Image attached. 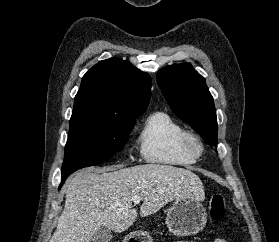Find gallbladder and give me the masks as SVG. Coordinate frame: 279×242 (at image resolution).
<instances>
[{"label":"gallbladder","mask_w":279,"mask_h":242,"mask_svg":"<svg viewBox=\"0 0 279 242\" xmlns=\"http://www.w3.org/2000/svg\"><path fill=\"white\" fill-rule=\"evenodd\" d=\"M112 232L107 228H100L92 237V242H110Z\"/></svg>","instance_id":"obj_1"}]
</instances>
